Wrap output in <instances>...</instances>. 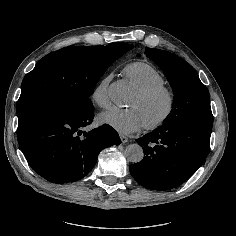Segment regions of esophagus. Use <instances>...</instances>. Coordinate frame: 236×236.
<instances>
[{
  "mask_svg": "<svg viewBox=\"0 0 236 236\" xmlns=\"http://www.w3.org/2000/svg\"><path fill=\"white\" fill-rule=\"evenodd\" d=\"M119 136H120L121 141H122L123 143L128 142V138H127L125 135H123V134H119Z\"/></svg>",
  "mask_w": 236,
  "mask_h": 236,
  "instance_id": "obj_1",
  "label": "esophagus"
}]
</instances>
